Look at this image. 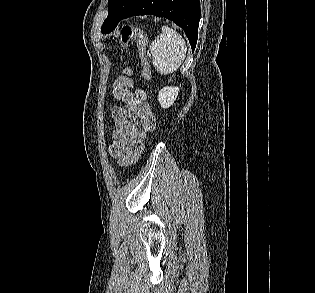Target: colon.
I'll return each instance as SVG.
<instances>
[{"label":"colon","mask_w":315,"mask_h":293,"mask_svg":"<svg viewBox=\"0 0 315 293\" xmlns=\"http://www.w3.org/2000/svg\"><path fill=\"white\" fill-rule=\"evenodd\" d=\"M136 41L138 44V52L140 59L142 62V76L145 80L151 79V70L149 64L145 61L147 59L146 52H147V41L148 38L145 32L141 29L133 28L131 26H124L121 29L119 35V43L121 47L126 48L130 41ZM132 71L129 67H124L122 69V76L120 78H115L113 82L112 93L119 94L123 92L130 91L131 85H134L135 80L131 78ZM143 150V146H139L133 155L124 163L125 166H129L137 161L140 157Z\"/></svg>","instance_id":"5ec220e1"}]
</instances>
